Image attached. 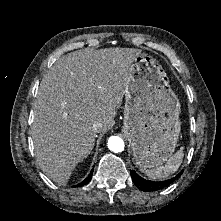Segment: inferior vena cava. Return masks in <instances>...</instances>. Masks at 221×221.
<instances>
[{
    "label": "inferior vena cava",
    "mask_w": 221,
    "mask_h": 221,
    "mask_svg": "<svg viewBox=\"0 0 221 221\" xmlns=\"http://www.w3.org/2000/svg\"><path fill=\"white\" fill-rule=\"evenodd\" d=\"M102 127V124L100 122H95L92 126L94 131H98Z\"/></svg>",
    "instance_id": "602c4592"
}]
</instances>
